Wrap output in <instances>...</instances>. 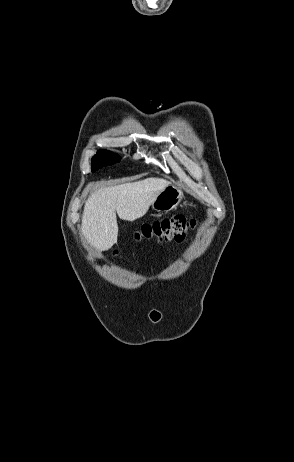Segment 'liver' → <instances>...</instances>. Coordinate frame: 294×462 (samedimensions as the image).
Returning <instances> with one entry per match:
<instances>
[{
  "mask_svg": "<svg viewBox=\"0 0 294 462\" xmlns=\"http://www.w3.org/2000/svg\"><path fill=\"white\" fill-rule=\"evenodd\" d=\"M168 185L164 179L148 178L95 191L84 206L81 234L98 251L110 249L118 237L116 213L131 222L143 217Z\"/></svg>",
  "mask_w": 294,
  "mask_h": 462,
  "instance_id": "1",
  "label": "liver"
}]
</instances>
